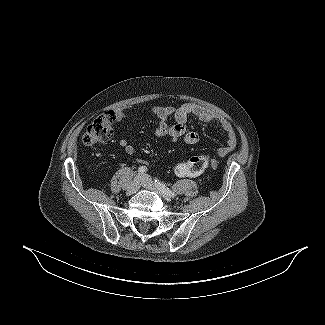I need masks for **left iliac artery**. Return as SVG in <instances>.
Here are the masks:
<instances>
[{
    "label": "left iliac artery",
    "mask_w": 325,
    "mask_h": 325,
    "mask_svg": "<svg viewBox=\"0 0 325 325\" xmlns=\"http://www.w3.org/2000/svg\"><path fill=\"white\" fill-rule=\"evenodd\" d=\"M154 183L157 186V188L165 195L174 197V193L162 182H160L158 179H154Z\"/></svg>",
    "instance_id": "obj_1"
}]
</instances>
